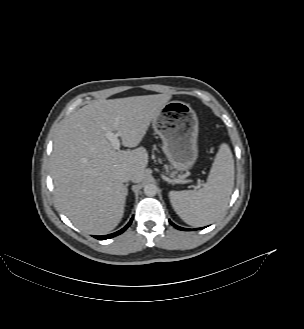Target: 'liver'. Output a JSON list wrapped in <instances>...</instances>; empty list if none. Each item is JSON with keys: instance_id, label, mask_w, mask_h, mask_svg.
<instances>
[{"instance_id": "obj_1", "label": "liver", "mask_w": 304, "mask_h": 329, "mask_svg": "<svg viewBox=\"0 0 304 329\" xmlns=\"http://www.w3.org/2000/svg\"><path fill=\"white\" fill-rule=\"evenodd\" d=\"M170 94L98 100L80 108L59 129L51 156V175L59 207L81 231L103 235L121 221L126 201L122 171L140 183L148 164L145 148H136ZM108 131L120 135L116 150Z\"/></svg>"}]
</instances>
